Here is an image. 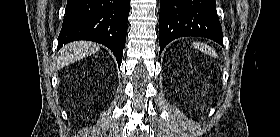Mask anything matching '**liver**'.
I'll return each mask as SVG.
<instances>
[{"label": "liver", "instance_id": "liver-1", "mask_svg": "<svg viewBox=\"0 0 280 137\" xmlns=\"http://www.w3.org/2000/svg\"><path fill=\"white\" fill-rule=\"evenodd\" d=\"M100 46L88 41H76L65 45L58 56L57 68L67 66L97 52Z\"/></svg>", "mask_w": 280, "mask_h": 137}]
</instances>
